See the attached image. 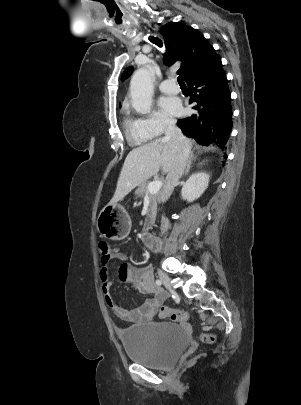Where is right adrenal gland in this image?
<instances>
[{
    "mask_svg": "<svg viewBox=\"0 0 301 405\" xmlns=\"http://www.w3.org/2000/svg\"><path fill=\"white\" fill-rule=\"evenodd\" d=\"M195 159H196V156H195L193 153H191V155H190V157H189V160H188V162H187V166H186L185 171H184V173H183V176H185V175H187V174L189 173V171H190V169H191V167H192V162H193ZM198 165L200 166V165H202V163H199Z\"/></svg>",
    "mask_w": 301,
    "mask_h": 405,
    "instance_id": "2a0ac1e0",
    "label": "right adrenal gland"
}]
</instances>
